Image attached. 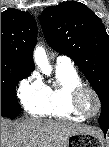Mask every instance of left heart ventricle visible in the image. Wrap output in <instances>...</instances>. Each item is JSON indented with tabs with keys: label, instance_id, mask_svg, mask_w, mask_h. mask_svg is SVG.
<instances>
[{
	"label": "left heart ventricle",
	"instance_id": "b2bd125f",
	"mask_svg": "<svg viewBox=\"0 0 109 147\" xmlns=\"http://www.w3.org/2000/svg\"><path fill=\"white\" fill-rule=\"evenodd\" d=\"M81 105L84 111L90 115L95 114L97 110V101L93 94L85 92L81 98Z\"/></svg>",
	"mask_w": 109,
	"mask_h": 147
}]
</instances>
